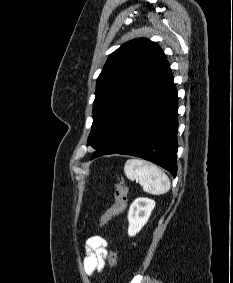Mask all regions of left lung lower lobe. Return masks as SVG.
<instances>
[{
  "instance_id": "left-lung-lower-lobe-1",
  "label": "left lung lower lobe",
  "mask_w": 233,
  "mask_h": 283,
  "mask_svg": "<svg viewBox=\"0 0 233 283\" xmlns=\"http://www.w3.org/2000/svg\"><path fill=\"white\" fill-rule=\"evenodd\" d=\"M178 97L165 61L91 159L106 154L142 157L177 173Z\"/></svg>"
}]
</instances>
